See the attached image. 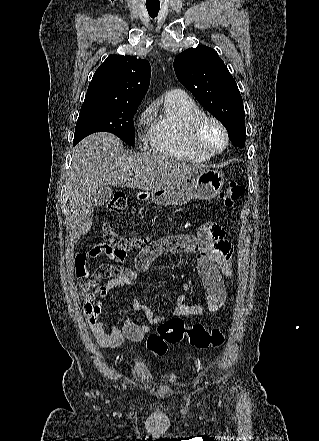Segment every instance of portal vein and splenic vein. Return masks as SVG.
Here are the masks:
<instances>
[{
	"label": "portal vein and splenic vein",
	"mask_w": 319,
	"mask_h": 441,
	"mask_svg": "<svg viewBox=\"0 0 319 441\" xmlns=\"http://www.w3.org/2000/svg\"><path fill=\"white\" fill-rule=\"evenodd\" d=\"M134 173H135L136 175H138V174H139V171H138V170H136V171H134Z\"/></svg>",
	"instance_id": "portal-vein-and-splenic-vein-1"
}]
</instances>
